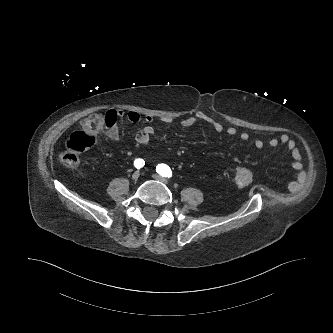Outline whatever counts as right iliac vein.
Instances as JSON below:
<instances>
[{
  "mask_svg": "<svg viewBox=\"0 0 333 333\" xmlns=\"http://www.w3.org/2000/svg\"><path fill=\"white\" fill-rule=\"evenodd\" d=\"M139 177H140V172H139V171H135V172L132 174V179H133V180H138Z\"/></svg>",
  "mask_w": 333,
  "mask_h": 333,
  "instance_id": "63e3f726",
  "label": "right iliac vein"
}]
</instances>
